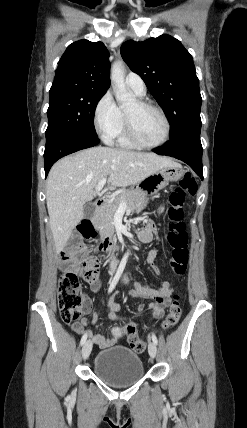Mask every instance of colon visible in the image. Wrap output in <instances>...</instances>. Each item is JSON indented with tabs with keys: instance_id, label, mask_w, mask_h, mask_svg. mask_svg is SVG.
Masks as SVG:
<instances>
[{
	"instance_id": "1",
	"label": "colon",
	"mask_w": 247,
	"mask_h": 428,
	"mask_svg": "<svg viewBox=\"0 0 247 428\" xmlns=\"http://www.w3.org/2000/svg\"><path fill=\"white\" fill-rule=\"evenodd\" d=\"M197 191V183L194 177L186 174L172 191L169 196V222L168 243L171 247L170 267L175 276H181L186 270L188 263L187 235L184 230L183 205L188 196H193ZM77 233L83 237V241L95 236L93 226L88 222H82L77 229ZM73 243L71 249L64 250L60 253V263L63 272L60 275L58 283V304L62 320L67 324H76L77 321L85 314V299L82 286L80 284L77 272L75 270V247ZM83 267L87 272L89 280L97 278L98 262L92 256H87L83 260ZM145 305L139 302L136 305L135 312L132 315L141 316L145 312ZM168 302L163 298L156 299L151 303L150 314L153 322L162 320L166 315ZM182 308L179 296L175 295L171 301L168 314L163 321L162 327L165 330L174 327L180 320ZM131 323V320H127ZM137 326L128 324L125 327L129 346L136 352H143L146 348L144 341L139 339Z\"/></svg>"
}]
</instances>
